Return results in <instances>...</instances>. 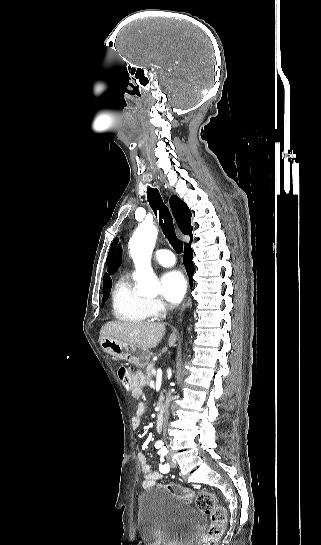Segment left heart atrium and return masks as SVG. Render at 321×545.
<instances>
[{
    "label": "left heart atrium",
    "instance_id": "obj_1",
    "mask_svg": "<svg viewBox=\"0 0 321 545\" xmlns=\"http://www.w3.org/2000/svg\"><path fill=\"white\" fill-rule=\"evenodd\" d=\"M161 287L164 299L173 304L185 294L187 282L179 271L171 270L161 276Z\"/></svg>",
    "mask_w": 321,
    "mask_h": 545
}]
</instances>
